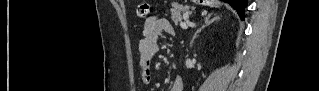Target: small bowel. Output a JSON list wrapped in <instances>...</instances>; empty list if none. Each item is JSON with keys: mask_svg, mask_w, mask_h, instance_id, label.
Listing matches in <instances>:
<instances>
[{"mask_svg": "<svg viewBox=\"0 0 319 91\" xmlns=\"http://www.w3.org/2000/svg\"><path fill=\"white\" fill-rule=\"evenodd\" d=\"M173 33L170 21L163 17L150 16L144 22L142 38L138 43V65L141 81L147 84L153 75L152 62L159 52L158 39L161 34ZM170 91H182V80L175 77L171 83Z\"/></svg>", "mask_w": 319, "mask_h": 91, "instance_id": "1", "label": "small bowel"}]
</instances>
